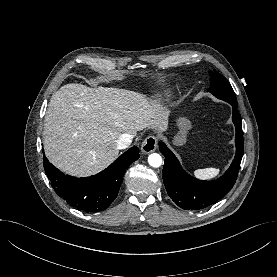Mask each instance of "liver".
<instances>
[{
	"label": "liver",
	"instance_id": "liver-1",
	"mask_svg": "<svg viewBox=\"0 0 277 277\" xmlns=\"http://www.w3.org/2000/svg\"><path fill=\"white\" fill-rule=\"evenodd\" d=\"M146 128L163 132L168 112L160 100L118 88H90L71 83L50 99L44 122L47 158L62 172L91 176L108 167L119 154L116 141Z\"/></svg>",
	"mask_w": 277,
	"mask_h": 277
}]
</instances>
